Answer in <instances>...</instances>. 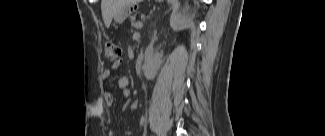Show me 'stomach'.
<instances>
[{"mask_svg":"<svg viewBox=\"0 0 325 136\" xmlns=\"http://www.w3.org/2000/svg\"><path fill=\"white\" fill-rule=\"evenodd\" d=\"M137 7L133 2L131 5L123 7L120 11L114 14V21L117 23H122L129 15H133V12H136Z\"/></svg>","mask_w":325,"mask_h":136,"instance_id":"obj_1","label":"stomach"}]
</instances>
